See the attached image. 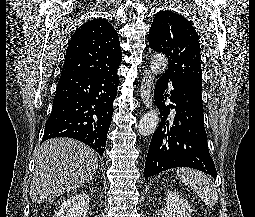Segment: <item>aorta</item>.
Returning a JSON list of instances; mask_svg holds the SVG:
<instances>
[{
	"label": "aorta",
	"mask_w": 255,
	"mask_h": 217,
	"mask_svg": "<svg viewBox=\"0 0 255 217\" xmlns=\"http://www.w3.org/2000/svg\"><path fill=\"white\" fill-rule=\"evenodd\" d=\"M168 66V60L165 55L157 53L153 55L150 61V68L154 74L163 73ZM159 124V113L156 110L146 112L140 119L138 132L142 136L152 134Z\"/></svg>",
	"instance_id": "obj_1"
}]
</instances>
